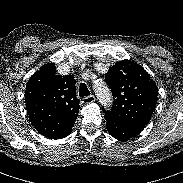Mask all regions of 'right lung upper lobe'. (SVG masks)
I'll use <instances>...</instances> for the list:
<instances>
[{"instance_id": "right-lung-upper-lobe-1", "label": "right lung upper lobe", "mask_w": 183, "mask_h": 183, "mask_svg": "<svg viewBox=\"0 0 183 183\" xmlns=\"http://www.w3.org/2000/svg\"><path fill=\"white\" fill-rule=\"evenodd\" d=\"M25 102L31 124L40 134L62 139L71 133L80 109L73 76L56 75L53 63L43 65L27 82Z\"/></svg>"}]
</instances>
